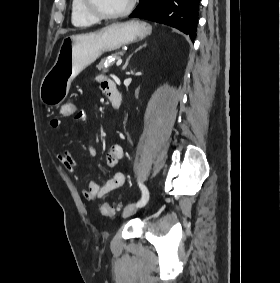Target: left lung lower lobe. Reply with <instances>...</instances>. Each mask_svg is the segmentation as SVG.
Listing matches in <instances>:
<instances>
[{"mask_svg":"<svg viewBox=\"0 0 280 283\" xmlns=\"http://www.w3.org/2000/svg\"><path fill=\"white\" fill-rule=\"evenodd\" d=\"M200 0H141L129 17L151 20L175 27L196 37Z\"/></svg>","mask_w":280,"mask_h":283,"instance_id":"obj_1","label":"left lung lower lobe"}]
</instances>
